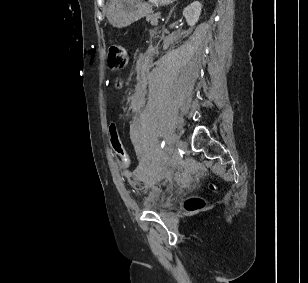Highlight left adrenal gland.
I'll return each instance as SVG.
<instances>
[{"label":"left adrenal gland","mask_w":308,"mask_h":283,"mask_svg":"<svg viewBox=\"0 0 308 283\" xmlns=\"http://www.w3.org/2000/svg\"><path fill=\"white\" fill-rule=\"evenodd\" d=\"M174 10V7L171 9L170 13H169V17L171 16L172 11Z\"/></svg>","instance_id":"left-adrenal-gland-1"}]
</instances>
